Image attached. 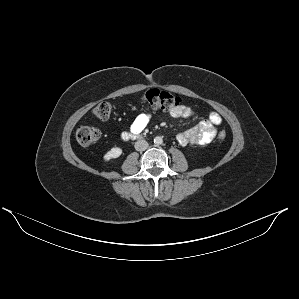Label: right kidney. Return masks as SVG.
Returning a JSON list of instances; mask_svg holds the SVG:
<instances>
[{
  "label": "right kidney",
  "mask_w": 299,
  "mask_h": 299,
  "mask_svg": "<svg viewBox=\"0 0 299 299\" xmlns=\"http://www.w3.org/2000/svg\"><path fill=\"white\" fill-rule=\"evenodd\" d=\"M122 154V149L119 147H113L103 156L105 161H109L110 159L118 158Z\"/></svg>",
  "instance_id": "1"
}]
</instances>
